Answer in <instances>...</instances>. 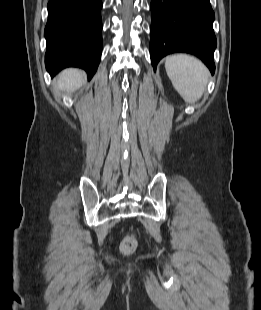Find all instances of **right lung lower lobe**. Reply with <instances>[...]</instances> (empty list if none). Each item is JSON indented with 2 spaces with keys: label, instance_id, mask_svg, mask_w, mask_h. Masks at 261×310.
Returning <instances> with one entry per match:
<instances>
[{
  "label": "right lung lower lobe",
  "instance_id": "98d812e1",
  "mask_svg": "<svg viewBox=\"0 0 261 310\" xmlns=\"http://www.w3.org/2000/svg\"><path fill=\"white\" fill-rule=\"evenodd\" d=\"M101 0H49L45 65L51 76L62 68L95 74L102 53Z\"/></svg>",
  "mask_w": 261,
  "mask_h": 310
}]
</instances>
